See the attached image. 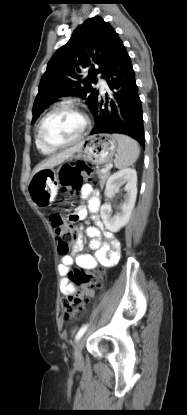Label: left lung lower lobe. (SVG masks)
I'll use <instances>...</instances> for the list:
<instances>
[{
	"mask_svg": "<svg viewBox=\"0 0 187 415\" xmlns=\"http://www.w3.org/2000/svg\"><path fill=\"white\" fill-rule=\"evenodd\" d=\"M113 91L110 105L101 96L92 111L95 126L91 134L120 133L131 136L144 148L142 106L130 57L119 36L114 40L103 72ZM108 99V96H106Z\"/></svg>",
	"mask_w": 187,
	"mask_h": 415,
	"instance_id": "1",
	"label": "left lung lower lobe"
}]
</instances>
